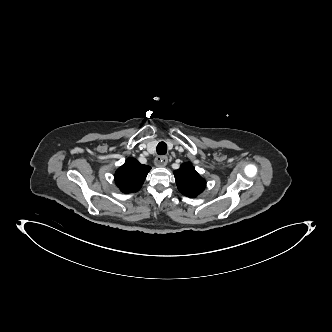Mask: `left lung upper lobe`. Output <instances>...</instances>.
<instances>
[{
    "mask_svg": "<svg viewBox=\"0 0 332 332\" xmlns=\"http://www.w3.org/2000/svg\"><path fill=\"white\" fill-rule=\"evenodd\" d=\"M174 175L179 191L187 197L195 198L206 186L205 180L189 162L183 163L178 170L174 171Z\"/></svg>",
    "mask_w": 332,
    "mask_h": 332,
    "instance_id": "left-lung-upper-lobe-1",
    "label": "left lung upper lobe"
}]
</instances>
